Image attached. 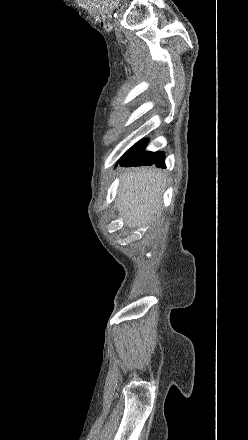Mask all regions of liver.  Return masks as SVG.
<instances>
[{
    "mask_svg": "<svg viewBox=\"0 0 248 440\" xmlns=\"http://www.w3.org/2000/svg\"><path fill=\"white\" fill-rule=\"evenodd\" d=\"M166 178L155 168L124 173L116 206L128 227H141L155 220L161 208Z\"/></svg>",
    "mask_w": 248,
    "mask_h": 440,
    "instance_id": "liver-1",
    "label": "liver"
}]
</instances>
